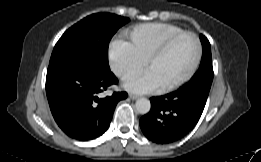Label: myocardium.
Listing matches in <instances>:
<instances>
[{"mask_svg": "<svg viewBox=\"0 0 261 162\" xmlns=\"http://www.w3.org/2000/svg\"><path fill=\"white\" fill-rule=\"evenodd\" d=\"M183 36H191L194 38L195 42H196V56L194 59V62L191 66V68L189 69V71L180 79H178L177 81L162 86V90L163 91H171L174 90L178 87H180L181 85H183L184 83H186L188 80H190L194 74L196 73L199 64L201 62V57H202V44L200 41V38L198 37V35L194 32L191 31H182L178 34H175L171 37H169L168 39H166L160 46H158L156 49H154L146 58V66L148 67V65L155 59L159 58L160 56L164 55L169 49L170 47L181 37Z\"/></svg>", "mask_w": 261, "mask_h": 162, "instance_id": "1", "label": "myocardium"}]
</instances>
